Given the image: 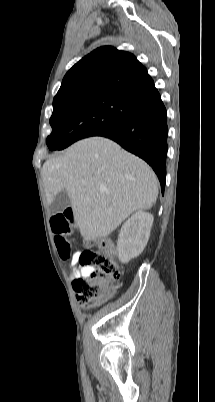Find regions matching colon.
Returning <instances> with one entry per match:
<instances>
[{
	"label": "colon",
	"mask_w": 215,
	"mask_h": 402,
	"mask_svg": "<svg viewBox=\"0 0 215 402\" xmlns=\"http://www.w3.org/2000/svg\"><path fill=\"white\" fill-rule=\"evenodd\" d=\"M72 212L66 210L51 218V228L54 233V241L61 258L68 259L71 256V243L68 235L71 231ZM99 250H85L77 258L75 265L78 267H92L88 277L78 278L73 282L74 290L79 301L93 307L105 301L112 295L111 284L120 279V270L112 258L113 244L108 239L97 242Z\"/></svg>",
	"instance_id": "5ec220e1"
}]
</instances>
